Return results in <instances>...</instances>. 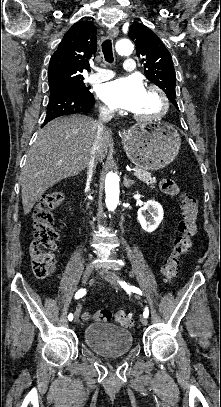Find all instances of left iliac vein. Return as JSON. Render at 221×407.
Returning a JSON list of instances; mask_svg holds the SVG:
<instances>
[{
  "label": "left iliac vein",
  "mask_w": 221,
  "mask_h": 407,
  "mask_svg": "<svg viewBox=\"0 0 221 407\" xmlns=\"http://www.w3.org/2000/svg\"><path fill=\"white\" fill-rule=\"evenodd\" d=\"M98 274L105 279L107 282H109L110 284L118 287L119 286V280H118V276L110 271L107 270H103V271H99ZM140 321L142 323V325L146 326L148 324V320L147 318H145L143 315L140 316Z\"/></svg>",
  "instance_id": "obj_1"
}]
</instances>
